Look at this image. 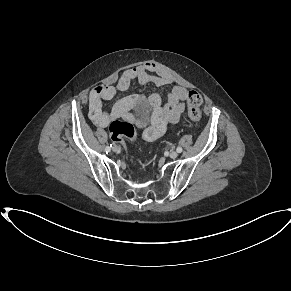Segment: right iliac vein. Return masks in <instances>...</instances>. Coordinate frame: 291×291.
I'll use <instances>...</instances> for the list:
<instances>
[{
  "label": "right iliac vein",
  "mask_w": 291,
  "mask_h": 291,
  "mask_svg": "<svg viewBox=\"0 0 291 291\" xmlns=\"http://www.w3.org/2000/svg\"><path fill=\"white\" fill-rule=\"evenodd\" d=\"M112 150L117 153L119 152L120 148L117 145H113Z\"/></svg>",
  "instance_id": "obj_1"
}]
</instances>
